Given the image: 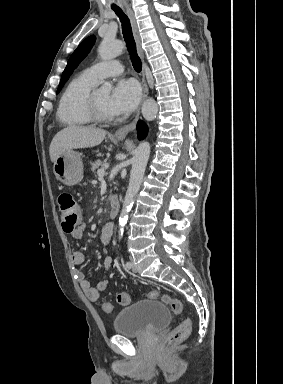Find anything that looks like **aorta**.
Listing matches in <instances>:
<instances>
[{
    "label": "aorta",
    "instance_id": "1",
    "mask_svg": "<svg viewBox=\"0 0 283 384\" xmlns=\"http://www.w3.org/2000/svg\"><path fill=\"white\" fill-rule=\"evenodd\" d=\"M124 49V45L119 40H112L105 38L101 42L98 52L102 60H110L119 56ZM112 85L108 82L104 83L101 90L109 93ZM158 112V105L153 98H148L142 105V115L145 120L152 121L156 118ZM150 144L146 141L141 142L133 157L132 169L130 172V179L128 189L124 198L123 207L119 217V233L123 234L124 226L128 219V213L134 203V199L138 193L140 185L143 180L144 172L150 156Z\"/></svg>",
    "mask_w": 283,
    "mask_h": 384
}]
</instances>
